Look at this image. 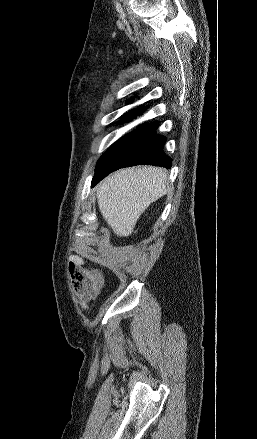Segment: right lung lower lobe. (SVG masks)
I'll use <instances>...</instances> for the list:
<instances>
[{
    "label": "right lung lower lobe",
    "mask_w": 257,
    "mask_h": 439,
    "mask_svg": "<svg viewBox=\"0 0 257 439\" xmlns=\"http://www.w3.org/2000/svg\"><path fill=\"white\" fill-rule=\"evenodd\" d=\"M158 123L142 125L115 142L98 160L92 187L111 172L139 164L171 167L172 159L163 152L166 138L157 135Z\"/></svg>",
    "instance_id": "1"
}]
</instances>
